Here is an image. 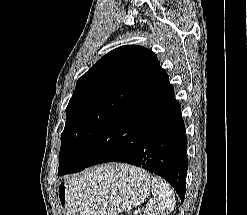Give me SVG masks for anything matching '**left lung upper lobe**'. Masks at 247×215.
Wrapping results in <instances>:
<instances>
[{"label": "left lung upper lobe", "instance_id": "5c2ea615", "mask_svg": "<svg viewBox=\"0 0 247 215\" xmlns=\"http://www.w3.org/2000/svg\"><path fill=\"white\" fill-rule=\"evenodd\" d=\"M157 56L136 45L116 48L77 81L61 135L60 174L80 150L103 137L159 68Z\"/></svg>", "mask_w": 247, "mask_h": 215}]
</instances>
